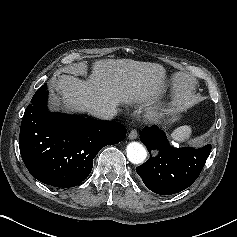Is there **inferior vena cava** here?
Wrapping results in <instances>:
<instances>
[{
    "mask_svg": "<svg viewBox=\"0 0 237 237\" xmlns=\"http://www.w3.org/2000/svg\"><path fill=\"white\" fill-rule=\"evenodd\" d=\"M91 114L102 120H112L116 116V109L115 108L96 109L93 110Z\"/></svg>",
    "mask_w": 237,
    "mask_h": 237,
    "instance_id": "obj_1",
    "label": "inferior vena cava"
}]
</instances>
